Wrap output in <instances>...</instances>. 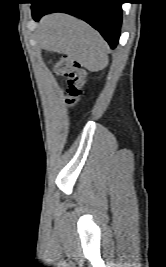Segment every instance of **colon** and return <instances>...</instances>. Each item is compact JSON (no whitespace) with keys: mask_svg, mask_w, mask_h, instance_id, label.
<instances>
[{"mask_svg":"<svg viewBox=\"0 0 166 267\" xmlns=\"http://www.w3.org/2000/svg\"><path fill=\"white\" fill-rule=\"evenodd\" d=\"M55 72L66 79V105L73 108L83 93L86 71L81 65L66 57H61L54 66Z\"/></svg>","mask_w":166,"mask_h":267,"instance_id":"1","label":"colon"}]
</instances>
